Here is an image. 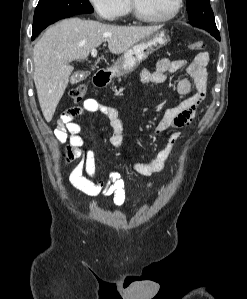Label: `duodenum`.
Returning <instances> with one entry per match:
<instances>
[{
	"label": "duodenum",
	"instance_id": "duodenum-1",
	"mask_svg": "<svg viewBox=\"0 0 247 299\" xmlns=\"http://www.w3.org/2000/svg\"><path fill=\"white\" fill-rule=\"evenodd\" d=\"M112 75V69L111 68H106L103 70L98 71L94 78V84L98 87H102L108 83Z\"/></svg>",
	"mask_w": 247,
	"mask_h": 299
}]
</instances>
